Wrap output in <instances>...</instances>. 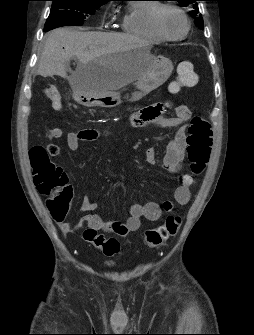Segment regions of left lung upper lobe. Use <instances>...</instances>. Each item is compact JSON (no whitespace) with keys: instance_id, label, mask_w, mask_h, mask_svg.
I'll return each mask as SVG.
<instances>
[{"instance_id":"5c2ea615","label":"left lung upper lobe","mask_w":254,"mask_h":335,"mask_svg":"<svg viewBox=\"0 0 254 335\" xmlns=\"http://www.w3.org/2000/svg\"><path fill=\"white\" fill-rule=\"evenodd\" d=\"M177 2H179L182 6H190V7H193V8H197V1L198 0H175ZM191 16L193 18H195V22L197 24V26L200 28V29H203V19L201 16L198 15V10H195V11H192L190 12Z\"/></svg>"}]
</instances>
